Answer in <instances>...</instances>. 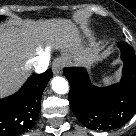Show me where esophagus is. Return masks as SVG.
<instances>
[{"instance_id":"esophagus-1","label":"esophagus","mask_w":136,"mask_h":136,"mask_svg":"<svg viewBox=\"0 0 136 136\" xmlns=\"http://www.w3.org/2000/svg\"><path fill=\"white\" fill-rule=\"evenodd\" d=\"M65 61L62 58H57L54 60L52 64V70L55 75H58L61 73L63 67H64Z\"/></svg>"}]
</instances>
